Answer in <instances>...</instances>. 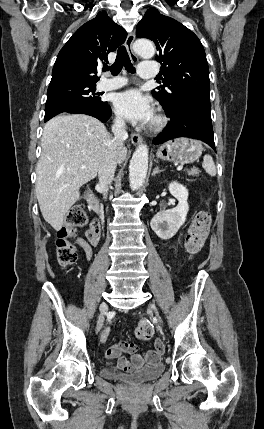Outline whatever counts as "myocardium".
<instances>
[{"label": "myocardium", "instance_id": "1", "mask_svg": "<svg viewBox=\"0 0 264 429\" xmlns=\"http://www.w3.org/2000/svg\"><path fill=\"white\" fill-rule=\"evenodd\" d=\"M166 124V118L163 115H158L154 118L150 125V130L157 132L160 131Z\"/></svg>", "mask_w": 264, "mask_h": 429}]
</instances>
